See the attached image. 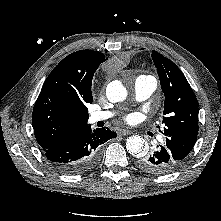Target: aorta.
I'll return each instance as SVG.
<instances>
[{"instance_id": "762f6f07", "label": "aorta", "mask_w": 221, "mask_h": 221, "mask_svg": "<svg viewBox=\"0 0 221 221\" xmlns=\"http://www.w3.org/2000/svg\"><path fill=\"white\" fill-rule=\"evenodd\" d=\"M127 95V89L120 81L114 80L107 85L106 96L110 102L124 101ZM126 149L134 157L140 158L147 154L148 144L141 136L133 135L127 139Z\"/></svg>"}]
</instances>
